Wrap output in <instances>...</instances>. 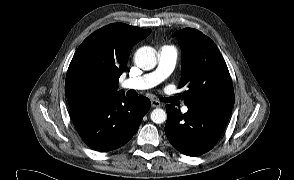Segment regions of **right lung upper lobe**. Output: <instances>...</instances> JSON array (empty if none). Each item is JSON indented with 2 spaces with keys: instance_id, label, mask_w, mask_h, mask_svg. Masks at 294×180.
Wrapping results in <instances>:
<instances>
[{
  "instance_id": "cb5924a9",
  "label": "right lung upper lobe",
  "mask_w": 294,
  "mask_h": 180,
  "mask_svg": "<svg viewBox=\"0 0 294 180\" xmlns=\"http://www.w3.org/2000/svg\"><path fill=\"white\" fill-rule=\"evenodd\" d=\"M150 32L115 23L88 36L75 52L66 74L65 94L70 108L122 94L123 91H117L118 80L130 50Z\"/></svg>"
}]
</instances>
